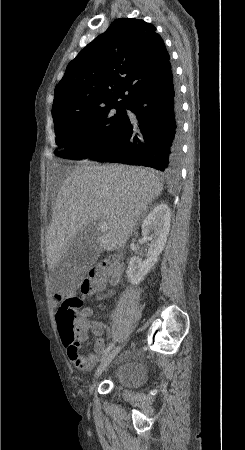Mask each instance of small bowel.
<instances>
[{
    "label": "small bowel",
    "mask_w": 245,
    "mask_h": 450,
    "mask_svg": "<svg viewBox=\"0 0 245 450\" xmlns=\"http://www.w3.org/2000/svg\"><path fill=\"white\" fill-rule=\"evenodd\" d=\"M101 294L103 297H111L114 294L112 289L105 290V286L95 287L87 293V295ZM76 305V303H75ZM93 310L90 308L82 309L79 314V320L82 321L88 331H90L94 336H96V342L94 344V353H90L88 356L83 357L80 354V347L82 342L86 339L87 334L83 335L79 333L76 337V343H66L63 341L64 346L67 349V355L73 363L80 369H89L98 359V355L105 351V343L103 340L104 326L103 324L91 320L93 317ZM78 357L80 361H78Z\"/></svg>",
    "instance_id": "1"
}]
</instances>
